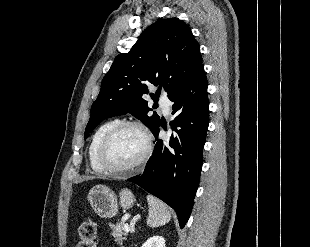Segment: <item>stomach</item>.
Listing matches in <instances>:
<instances>
[{
	"instance_id": "1",
	"label": "stomach",
	"mask_w": 310,
	"mask_h": 247,
	"mask_svg": "<svg viewBox=\"0 0 310 247\" xmlns=\"http://www.w3.org/2000/svg\"><path fill=\"white\" fill-rule=\"evenodd\" d=\"M87 199L94 212L101 218H112L118 213L119 205L123 209L131 208L136 199L129 189H122L118 197L115 192L105 185H96L88 193Z\"/></svg>"
}]
</instances>
